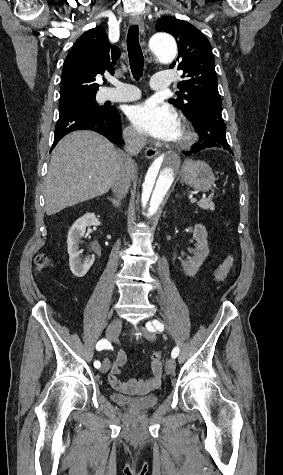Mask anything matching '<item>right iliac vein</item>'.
Returning a JSON list of instances; mask_svg holds the SVG:
<instances>
[{
    "instance_id": "obj_1",
    "label": "right iliac vein",
    "mask_w": 283,
    "mask_h": 475,
    "mask_svg": "<svg viewBox=\"0 0 283 475\" xmlns=\"http://www.w3.org/2000/svg\"><path fill=\"white\" fill-rule=\"evenodd\" d=\"M121 327H122L121 319L119 318L114 319L112 322H110V324L107 327L106 337L111 341H115L121 331ZM109 368H110V363L108 359H104L101 366V372L106 373L109 370Z\"/></svg>"
}]
</instances>
